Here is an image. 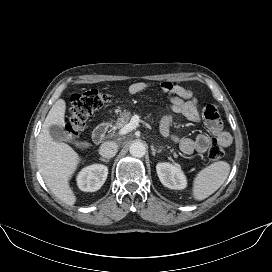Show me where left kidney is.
Segmentation results:
<instances>
[{"instance_id": "5707ae66", "label": "left kidney", "mask_w": 272, "mask_h": 272, "mask_svg": "<svg viewBox=\"0 0 272 272\" xmlns=\"http://www.w3.org/2000/svg\"><path fill=\"white\" fill-rule=\"evenodd\" d=\"M156 171L160 182L169 189L182 190L187 186L186 176L177 164L158 163Z\"/></svg>"}]
</instances>
